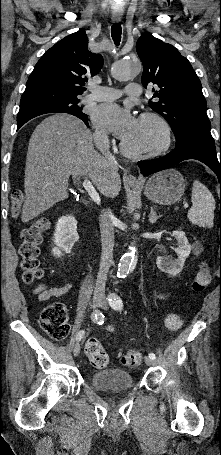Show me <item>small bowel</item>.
Listing matches in <instances>:
<instances>
[{
  "instance_id": "1",
  "label": "small bowel",
  "mask_w": 221,
  "mask_h": 455,
  "mask_svg": "<svg viewBox=\"0 0 221 455\" xmlns=\"http://www.w3.org/2000/svg\"><path fill=\"white\" fill-rule=\"evenodd\" d=\"M73 288V283H67L63 286L50 287L47 284H41L34 289L35 294L40 302H45L51 298L61 297L67 294ZM108 329L113 331V326L109 325Z\"/></svg>"
}]
</instances>
